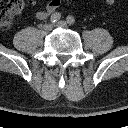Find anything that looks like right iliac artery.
Segmentation results:
<instances>
[{
	"instance_id": "82829eb1",
	"label": "right iliac artery",
	"mask_w": 128,
	"mask_h": 128,
	"mask_svg": "<svg viewBox=\"0 0 128 128\" xmlns=\"http://www.w3.org/2000/svg\"><path fill=\"white\" fill-rule=\"evenodd\" d=\"M60 18H61V14L56 12V13L51 15L50 22L51 23H56L57 21L60 20Z\"/></svg>"
}]
</instances>
